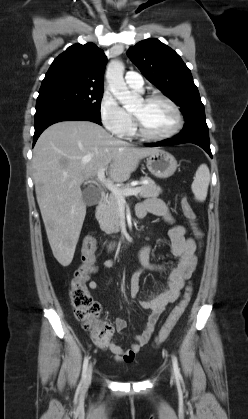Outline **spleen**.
<instances>
[{"label": "spleen", "instance_id": "obj_1", "mask_svg": "<svg viewBox=\"0 0 248 419\" xmlns=\"http://www.w3.org/2000/svg\"><path fill=\"white\" fill-rule=\"evenodd\" d=\"M210 182V172L206 164H201L196 171L194 181L191 185L195 199L203 202L207 197Z\"/></svg>", "mask_w": 248, "mask_h": 419}]
</instances>
